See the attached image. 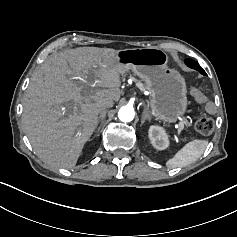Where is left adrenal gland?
I'll return each instance as SVG.
<instances>
[{
    "instance_id": "a2214340",
    "label": "left adrenal gland",
    "mask_w": 237,
    "mask_h": 237,
    "mask_svg": "<svg viewBox=\"0 0 237 237\" xmlns=\"http://www.w3.org/2000/svg\"><path fill=\"white\" fill-rule=\"evenodd\" d=\"M146 111H147V110L144 109V112H143V114H142V119H141V124H140V126H142V125L144 124V122H145L146 119L150 120V117L147 115Z\"/></svg>"
}]
</instances>
